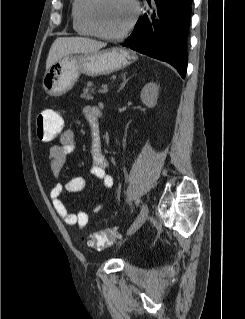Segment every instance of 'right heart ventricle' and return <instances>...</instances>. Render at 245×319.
<instances>
[{
	"label": "right heart ventricle",
	"instance_id": "1",
	"mask_svg": "<svg viewBox=\"0 0 245 319\" xmlns=\"http://www.w3.org/2000/svg\"><path fill=\"white\" fill-rule=\"evenodd\" d=\"M88 0H72L71 20L75 32L83 36H94L95 32L88 23L86 17V5Z\"/></svg>",
	"mask_w": 245,
	"mask_h": 319
}]
</instances>
